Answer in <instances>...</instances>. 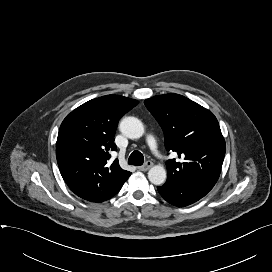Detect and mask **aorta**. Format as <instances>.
<instances>
[{
    "label": "aorta",
    "instance_id": "1",
    "mask_svg": "<svg viewBox=\"0 0 272 272\" xmlns=\"http://www.w3.org/2000/svg\"><path fill=\"white\" fill-rule=\"evenodd\" d=\"M119 128L121 133L130 139H138L144 134L142 122L135 117L123 118ZM166 178V170L161 165L153 166L148 172V179L154 185H162L166 181Z\"/></svg>",
    "mask_w": 272,
    "mask_h": 272
}]
</instances>
